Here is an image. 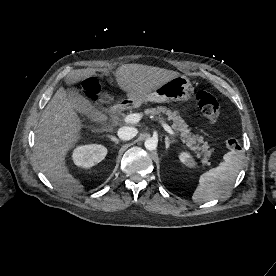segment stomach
Instances as JSON below:
<instances>
[{
    "instance_id": "0dacf381",
    "label": "stomach",
    "mask_w": 276,
    "mask_h": 276,
    "mask_svg": "<svg viewBox=\"0 0 276 276\" xmlns=\"http://www.w3.org/2000/svg\"><path fill=\"white\" fill-rule=\"evenodd\" d=\"M192 94L190 80L184 75H178L147 92L127 96V102L139 106L144 102L187 101Z\"/></svg>"
}]
</instances>
